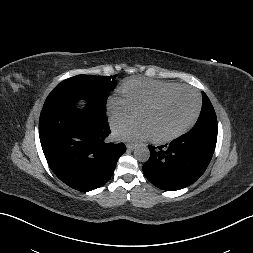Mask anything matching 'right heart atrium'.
<instances>
[{"label":"right heart atrium","instance_id":"d8ad5b80","mask_svg":"<svg viewBox=\"0 0 253 253\" xmlns=\"http://www.w3.org/2000/svg\"><path fill=\"white\" fill-rule=\"evenodd\" d=\"M109 120L112 125L129 122L135 117L136 111L124 98L111 97L107 102Z\"/></svg>","mask_w":253,"mask_h":253}]
</instances>
